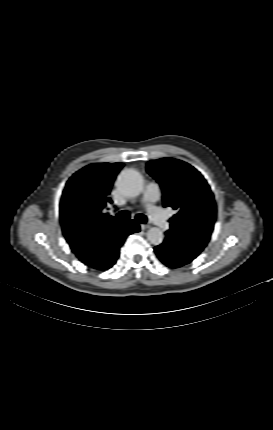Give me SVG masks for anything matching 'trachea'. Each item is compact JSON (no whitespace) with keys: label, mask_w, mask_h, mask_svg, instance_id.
<instances>
[{"label":"trachea","mask_w":273,"mask_h":430,"mask_svg":"<svg viewBox=\"0 0 273 430\" xmlns=\"http://www.w3.org/2000/svg\"><path fill=\"white\" fill-rule=\"evenodd\" d=\"M130 218V213L127 211H121L119 214L116 215V217H113V220L123 223L126 222L127 220H129ZM136 221L139 223H146L147 222V217L143 214H138L135 217Z\"/></svg>","instance_id":"obj_1"}]
</instances>
